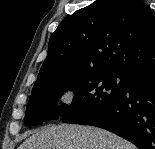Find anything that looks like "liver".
Listing matches in <instances>:
<instances>
[{
  "label": "liver",
  "mask_w": 155,
  "mask_h": 149,
  "mask_svg": "<svg viewBox=\"0 0 155 149\" xmlns=\"http://www.w3.org/2000/svg\"><path fill=\"white\" fill-rule=\"evenodd\" d=\"M18 149H136V146L103 129L61 124L41 129Z\"/></svg>",
  "instance_id": "1"
}]
</instances>
